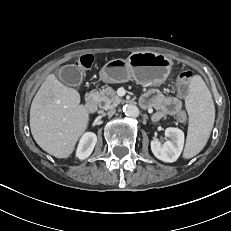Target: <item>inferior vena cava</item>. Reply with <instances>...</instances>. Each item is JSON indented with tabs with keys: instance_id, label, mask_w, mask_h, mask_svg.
<instances>
[{
	"instance_id": "obj_1",
	"label": "inferior vena cava",
	"mask_w": 231,
	"mask_h": 231,
	"mask_svg": "<svg viewBox=\"0 0 231 231\" xmlns=\"http://www.w3.org/2000/svg\"><path fill=\"white\" fill-rule=\"evenodd\" d=\"M116 110L115 109H110L108 112H107V115L109 117L113 116L115 114Z\"/></svg>"
}]
</instances>
